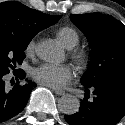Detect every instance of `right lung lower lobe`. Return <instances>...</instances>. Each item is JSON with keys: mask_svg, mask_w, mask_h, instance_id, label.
Masks as SVG:
<instances>
[{"mask_svg": "<svg viewBox=\"0 0 125 125\" xmlns=\"http://www.w3.org/2000/svg\"><path fill=\"white\" fill-rule=\"evenodd\" d=\"M6 74L8 73L0 71V122L20 113L25 108L32 89L36 86L33 82L22 84L21 80L25 78V72L18 69L13 72L16 82L12 84L13 88L9 89L5 84Z\"/></svg>", "mask_w": 125, "mask_h": 125, "instance_id": "right-lung-lower-lobe-1", "label": "right lung lower lobe"}]
</instances>
